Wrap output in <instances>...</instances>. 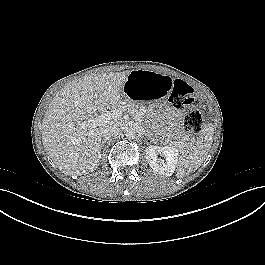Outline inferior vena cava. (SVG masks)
Instances as JSON below:
<instances>
[{
	"instance_id": "inferior-vena-cava-1",
	"label": "inferior vena cava",
	"mask_w": 265,
	"mask_h": 265,
	"mask_svg": "<svg viewBox=\"0 0 265 265\" xmlns=\"http://www.w3.org/2000/svg\"><path fill=\"white\" fill-rule=\"evenodd\" d=\"M119 132L118 127L115 124H105L103 127H101L100 135L103 138H110L114 135H116Z\"/></svg>"
}]
</instances>
